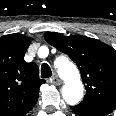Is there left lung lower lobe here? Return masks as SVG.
Segmentation results:
<instances>
[{
    "label": "left lung lower lobe",
    "instance_id": "1",
    "mask_svg": "<svg viewBox=\"0 0 116 116\" xmlns=\"http://www.w3.org/2000/svg\"><path fill=\"white\" fill-rule=\"evenodd\" d=\"M71 109L78 116H106L113 111L112 109H107L104 107L81 106V105L71 106Z\"/></svg>",
    "mask_w": 116,
    "mask_h": 116
}]
</instances>
